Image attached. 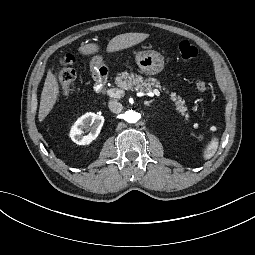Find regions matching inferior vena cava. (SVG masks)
<instances>
[{"label": "inferior vena cava", "mask_w": 255, "mask_h": 255, "mask_svg": "<svg viewBox=\"0 0 255 255\" xmlns=\"http://www.w3.org/2000/svg\"><path fill=\"white\" fill-rule=\"evenodd\" d=\"M109 109L113 112V113H120L122 111V104L119 103L117 100H110L108 103Z\"/></svg>", "instance_id": "602c4592"}]
</instances>
